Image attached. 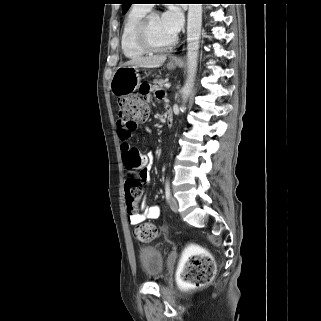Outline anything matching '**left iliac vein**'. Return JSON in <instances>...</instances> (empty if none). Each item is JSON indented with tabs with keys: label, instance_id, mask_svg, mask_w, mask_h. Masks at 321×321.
I'll return each mask as SVG.
<instances>
[{
	"label": "left iliac vein",
	"instance_id": "obj_1",
	"mask_svg": "<svg viewBox=\"0 0 321 321\" xmlns=\"http://www.w3.org/2000/svg\"><path fill=\"white\" fill-rule=\"evenodd\" d=\"M169 205L172 211L177 212L178 211V202L174 197H170Z\"/></svg>",
	"mask_w": 321,
	"mask_h": 321
}]
</instances>
